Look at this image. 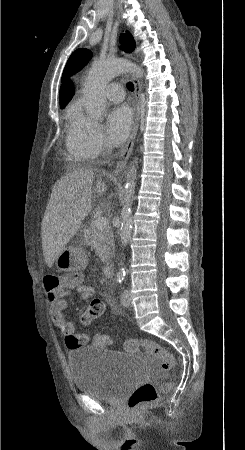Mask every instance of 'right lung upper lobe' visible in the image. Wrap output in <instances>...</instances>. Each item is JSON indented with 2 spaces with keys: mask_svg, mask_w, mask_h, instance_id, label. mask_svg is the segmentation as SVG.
<instances>
[{
  "mask_svg": "<svg viewBox=\"0 0 245 450\" xmlns=\"http://www.w3.org/2000/svg\"><path fill=\"white\" fill-rule=\"evenodd\" d=\"M74 95V86L70 80L64 82L60 88V107H65Z\"/></svg>",
  "mask_w": 245,
  "mask_h": 450,
  "instance_id": "1",
  "label": "right lung upper lobe"
}]
</instances>
